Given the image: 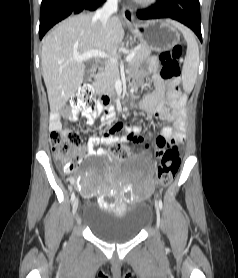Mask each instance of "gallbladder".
<instances>
[{
  "instance_id": "obj_1",
  "label": "gallbladder",
  "mask_w": 238,
  "mask_h": 278,
  "mask_svg": "<svg viewBox=\"0 0 238 278\" xmlns=\"http://www.w3.org/2000/svg\"><path fill=\"white\" fill-rule=\"evenodd\" d=\"M92 65L86 64L85 66V78L89 75V71L91 70Z\"/></svg>"
}]
</instances>
